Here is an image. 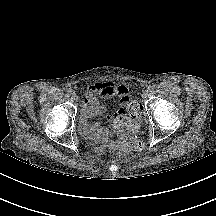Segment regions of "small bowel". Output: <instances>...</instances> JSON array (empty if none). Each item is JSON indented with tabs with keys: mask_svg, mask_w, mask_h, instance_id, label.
<instances>
[{
	"mask_svg": "<svg viewBox=\"0 0 216 216\" xmlns=\"http://www.w3.org/2000/svg\"><path fill=\"white\" fill-rule=\"evenodd\" d=\"M98 96L104 98L118 97L120 100V109L108 116V120L112 125L117 117L124 113L125 107L129 104V90L123 85L96 83L89 86L85 92L80 118V129L85 136L98 142H104L109 135V131L104 129L98 122L92 121L95 116L106 111V106L100 104Z\"/></svg>",
	"mask_w": 216,
	"mask_h": 216,
	"instance_id": "1",
	"label": "small bowel"
}]
</instances>
